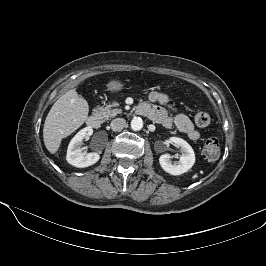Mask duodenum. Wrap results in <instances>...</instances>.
<instances>
[{
  "label": "duodenum",
  "mask_w": 266,
  "mask_h": 266,
  "mask_svg": "<svg viewBox=\"0 0 266 266\" xmlns=\"http://www.w3.org/2000/svg\"><path fill=\"white\" fill-rule=\"evenodd\" d=\"M102 122L99 114H92L87 118V125L91 128L97 129L100 127Z\"/></svg>",
  "instance_id": "duodenum-1"
}]
</instances>
